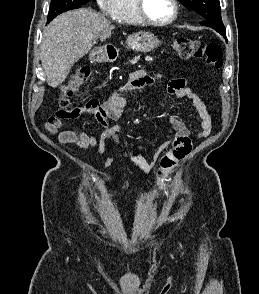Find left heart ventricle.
<instances>
[{
	"mask_svg": "<svg viewBox=\"0 0 259 294\" xmlns=\"http://www.w3.org/2000/svg\"><path fill=\"white\" fill-rule=\"evenodd\" d=\"M145 10L156 21H166L173 15L171 0H145Z\"/></svg>",
	"mask_w": 259,
	"mask_h": 294,
	"instance_id": "b2bd125f",
	"label": "left heart ventricle"
}]
</instances>
